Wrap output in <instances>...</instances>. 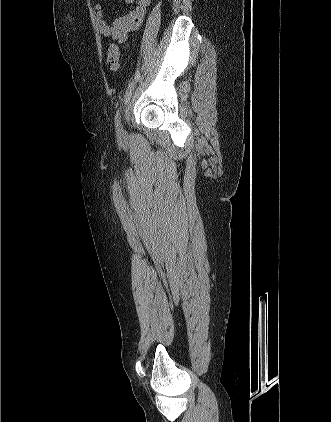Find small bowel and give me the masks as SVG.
<instances>
[{
  "instance_id": "1",
  "label": "small bowel",
  "mask_w": 331,
  "mask_h": 422,
  "mask_svg": "<svg viewBox=\"0 0 331 422\" xmlns=\"http://www.w3.org/2000/svg\"><path fill=\"white\" fill-rule=\"evenodd\" d=\"M125 2L133 5V9L112 23L106 22L102 5L100 3L94 5L98 30L119 43L125 42L131 32L141 25L151 0H125Z\"/></svg>"
}]
</instances>
